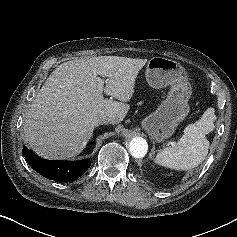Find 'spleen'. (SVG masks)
Wrapping results in <instances>:
<instances>
[{
	"label": "spleen",
	"mask_w": 237,
	"mask_h": 237,
	"mask_svg": "<svg viewBox=\"0 0 237 237\" xmlns=\"http://www.w3.org/2000/svg\"><path fill=\"white\" fill-rule=\"evenodd\" d=\"M214 108H208L201 119L189 124L177 143L160 151L155 162L175 170H191L200 165L208 154L206 135L214 130Z\"/></svg>",
	"instance_id": "1"
}]
</instances>
